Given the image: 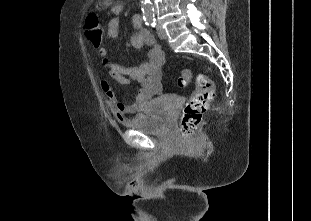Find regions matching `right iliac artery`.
I'll return each instance as SVG.
<instances>
[{
  "label": "right iliac artery",
  "instance_id": "1",
  "mask_svg": "<svg viewBox=\"0 0 311 221\" xmlns=\"http://www.w3.org/2000/svg\"><path fill=\"white\" fill-rule=\"evenodd\" d=\"M152 22H153L152 20H148V21H146V24L150 25Z\"/></svg>",
  "mask_w": 311,
  "mask_h": 221
}]
</instances>
